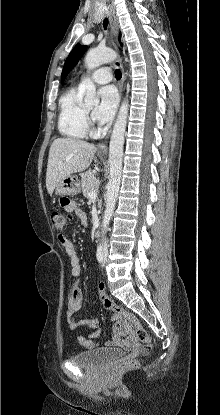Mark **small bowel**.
<instances>
[{"label": "small bowel", "mask_w": 220, "mask_h": 415, "mask_svg": "<svg viewBox=\"0 0 220 415\" xmlns=\"http://www.w3.org/2000/svg\"><path fill=\"white\" fill-rule=\"evenodd\" d=\"M65 209L69 212L75 213L83 224H88V219L85 212L75 204H70L65 207ZM58 241L62 245L65 250V253L68 257L69 261V273L73 277H78L81 271L79 257L75 251L74 245L72 241L68 238L65 234L58 235ZM104 285L99 284V291L103 292ZM69 295V305L67 311V323L71 330H76L81 326H87L93 329L92 334L87 337L85 335H78L77 340L78 342L87 349H94L97 345L94 343L92 338H97L102 334V330L98 327V320L96 318L84 319V320H77L75 319V313L81 308L82 305V292L79 287V282L74 280L69 285L68 290ZM117 319V318H116ZM114 337L111 343L107 345H119L123 341L122 339L116 334V330L114 331Z\"/></svg>", "instance_id": "1"}]
</instances>
